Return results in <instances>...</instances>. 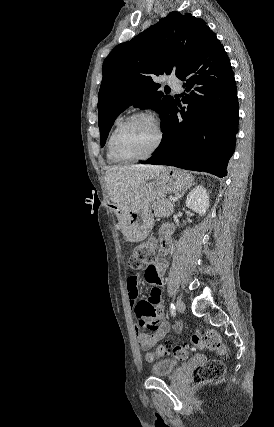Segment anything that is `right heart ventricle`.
<instances>
[{"label":"right heart ventricle","instance_id":"1","mask_svg":"<svg viewBox=\"0 0 274 427\" xmlns=\"http://www.w3.org/2000/svg\"><path fill=\"white\" fill-rule=\"evenodd\" d=\"M106 154H107V160L110 162V163H112V164H121L122 162L121 161H119L117 158H115L114 157V155L112 154V152H111V150H110V147H109V141H108V144H107V151H106Z\"/></svg>","mask_w":274,"mask_h":427}]
</instances>
